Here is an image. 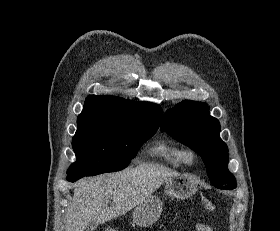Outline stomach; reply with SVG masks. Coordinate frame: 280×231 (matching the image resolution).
<instances>
[{
  "label": "stomach",
  "mask_w": 280,
  "mask_h": 231,
  "mask_svg": "<svg viewBox=\"0 0 280 231\" xmlns=\"http://www.w3.org/2000/svg\"><path fill=\"white\" fill-rule=\"evenodd\" d=\"M199 181L195 175L189 173H179L174 177H169L165 181L164 191L170 197L176 199H187L192 197L197 191ZM163 201L157 195H150L143 203L137 205L133 211V221L141 227H148L159 219L162 211Z\"/></svg>",
  "instance_id": "stomach-1"
}]
</instances>
